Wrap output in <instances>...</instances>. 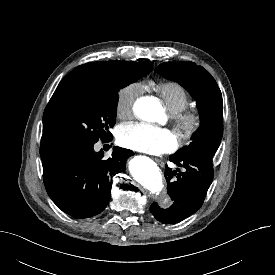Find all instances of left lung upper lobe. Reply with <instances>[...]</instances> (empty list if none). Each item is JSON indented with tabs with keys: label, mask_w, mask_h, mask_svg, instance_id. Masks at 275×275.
Instances as JSON below:
<instances>
[{
	"label": "left lung upper lobe",
	"mask_w": 275,
	"mask_h": 275,
	"mask_svg": "<svg viewBox=\"0 0 275 275\" xmlns=\"http://www.w3.org/2000/svg\"><path fill=\"white\" fill-rule=\"evenodd\" d=\"M157 72L178 82L197 101L201 123L192 142L174 156L205 154L213 157L223 135L222 94L214 78L203 67L191 62H164Z\"/></svg>",
	"instance_id": "left-lung-upper-lobe-1"
}]
</instances>
